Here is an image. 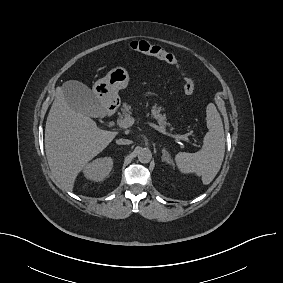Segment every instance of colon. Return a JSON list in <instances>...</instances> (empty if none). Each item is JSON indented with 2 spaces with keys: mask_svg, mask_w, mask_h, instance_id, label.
Listing matches in <instances>:
<instances>
[{
  "mask_svg": "<svg viewBox=\"0 0 283 283\" xmlns=\"http://www.w3.org/2000/svg\"><path fill=\"white\" fill-rule=\"evenodd\" d=\"M129 47L135 52L155 57L176 68L182 76L184 93L189 96L194 94L195 84L193 80L186 74L173 54L147 40H134L129 44Z\"/></svg>",
  "mask_w": 283,
  "mask_h": 283,
  "instance_id": "1",
  "label": "colon"
}]
</instances>
